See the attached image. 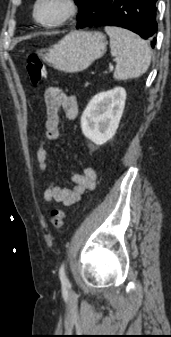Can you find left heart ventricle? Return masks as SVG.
Listing matches in <instances>:
<instances>
[{"label": "left heart ventricle", "mask_w": 171, "mask_h": 337, "mask_svg": "<svg viewBox=\"0 0 171 337\" xmlns=\"http://www.w3.org/2000/svg\"><path fill=\"white\" fill-rule=\"evenodd\" d=\"M64 13V5L59 0H44L38 8L37 16L42 21L53 22Z\"/></svg>", "instance_id": "1"}]
</instances>
